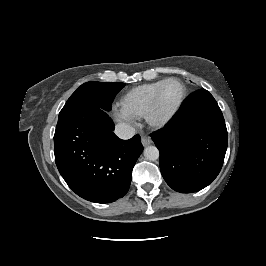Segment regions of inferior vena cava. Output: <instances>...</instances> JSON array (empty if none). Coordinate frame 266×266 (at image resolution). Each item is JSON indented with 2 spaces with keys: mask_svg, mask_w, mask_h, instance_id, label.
<instances>
[{
  "mask_svg": "<svg viewBox=\"0 0 266 266\" xmlns=\"http://www.w3.org/2000/svg\"><path fill=\"white\" fill-rule=\"evenodd\" d=\"M114 133L120 139L127 140L135 135V129L127 123H119L116 125Z\"/></svg>",
  "mask_w": 266,
  "mask_h": 266,
  "instance_id": "602c4592",
  "label": "inferior vena cava"
}]
</instances>
